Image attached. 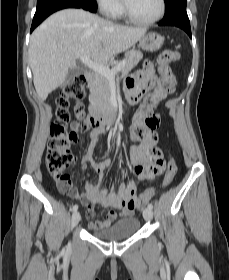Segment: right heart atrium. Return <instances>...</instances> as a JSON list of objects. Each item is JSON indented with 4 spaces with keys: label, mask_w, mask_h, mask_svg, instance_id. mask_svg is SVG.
I'll return each mask as SVG.
<instances>
[{
    "label": "right heart atrium",
    "mask_w": 229,
    "mask_h": 280,
    "mask_svg": "<svg viewBox=\"0 0 229 280\" xmlns=\"http://www.w3.org/2000/svg\"><path fill=\"white\" fill-rule=\"evenodd\" d=\"M96 3L102 13L109 18H114L121 11V0H96Z\"/></svg>",
    "instance_id": "obj_1"
}]
</instances>
